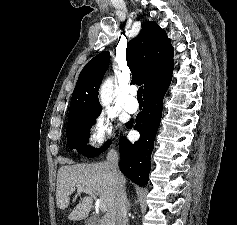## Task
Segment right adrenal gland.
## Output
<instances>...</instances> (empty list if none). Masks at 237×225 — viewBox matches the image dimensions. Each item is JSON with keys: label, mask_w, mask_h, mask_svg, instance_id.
<instances>
[{"label": "right adrenal gland", "mask_w": 237, "mask_h": 225, "mask_svg": "<svg viewBox=\"0 0 237 225\" xmlns=\"http://www.w3.org/2000/svg\"><path fill=\"white\" fill-rule=\"evenodd\" d=\"M127 206H128V210H130V208H131V203H130L129 200L127 201Z\"/></svg>", "instance_id": "obj_1"}]
</instances>
